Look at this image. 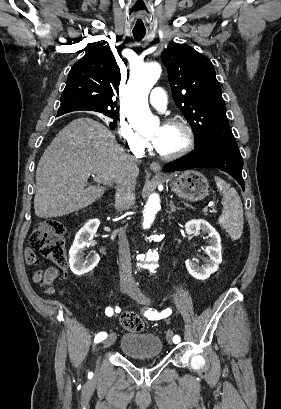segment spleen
<instances>
[{"label": "spleen", "instance_id": "1", "mask_svg": "<svg viewBox=\"0 0 281 409\" xmlns=\"http://www.w3.org/2000/svg\"><path fill=\"white\" fill-rule=\"evenodd\" d=\"M216 186L221 192L223 211L221 217H219V223L222 229H225L226 233L230 235L232 241H237L240 239L243 233V205L241 198L226 180L219 178V176H214Z\"/></svg>", "mask_w": 281, "mask_h": 409}]
</instances>
